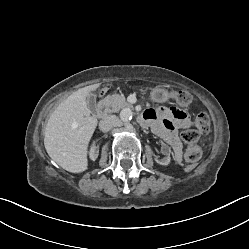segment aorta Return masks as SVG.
<instances>
[{"mask_svg": "<svg viewBox=\"0 0 249 249\" xmlns=\"http://www.w3.org/2000/svg\"><path fill=\"white\" fill-rule=\"evenodd\" d=\"M120 117L123 122H128L132 119V111L130 109H124L121 111Z\"/></svg>", "mask_w": 249, "mask_h": 249, "instance_id": "762f6f07", "label": "aorta"}]
</instances>
